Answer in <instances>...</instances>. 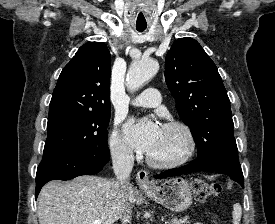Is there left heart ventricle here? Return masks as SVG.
Segmentation results:
<instances>
[{
  "instance_id": "obj_1",
  "label": "left heart ventricle",
  "mask_w": 275,
  "mask_h": 224,
  "mask_svg": "<svg viewBox=\"0 0 275 224\" xmlns=\"http://www.w3.org/2000/svg\"><path fill=\"white\" fill-rule=\"evenodd\" d=\"M185 148L186 141L179 130L162 127L159 140L149 155L158 161H168L181 156Z\"/></svg>"
}]
</instances>
